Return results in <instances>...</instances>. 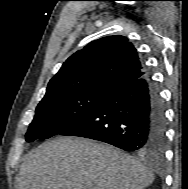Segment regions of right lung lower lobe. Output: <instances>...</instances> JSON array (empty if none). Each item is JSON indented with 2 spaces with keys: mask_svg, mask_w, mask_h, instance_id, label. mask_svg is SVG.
I'll use <instances>...</instances> for the list:
<instances>
[{
  "mask_svg": "<svg viewBox=\"0 0 188 189\" xmlns=\"http://www.w3.org/2000/svg\"><path fill=\"white\" fill-rule=\"evenodd\" d=\"M165 131L162 100L146 71L143 77L111 91L59 135L90 138L126 151L162 153Z\"/></svg>",
  "mask_w": 188,
  "mask_h": 189,
  "instance_id": "1",
  "label": "right lung lower lobe"
}]
</instances>
